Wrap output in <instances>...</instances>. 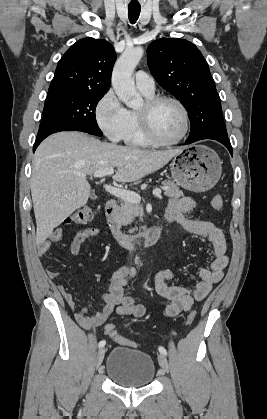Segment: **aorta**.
I'll use <instances>...</instances> for the list:
<instances>
[{"instance_id": "obj_1", "label": "aorta", "mask_w": 267, "mask_h": 419, "mask_svg": "<svg viewBox=\"0 0 267 419\" xmlns=\"http://www.w3.org/2000/svg\"><path fill=\"white\" fill-rule=\"evenodd\" d=\"M143 49H126L116 61L112 73V86L116 95L128 107L136 109L142 106L143 99L136 91L132 74L143 56Z\"/></svg>"}]
</instances>
